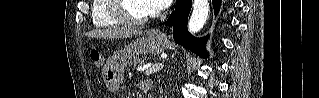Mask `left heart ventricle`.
Returning <instances> with one entry per match:
<instances>
[{"instance_id":"b2bd125f","label":"left heart ventricle","mask_w":319,"mask_h":98,"mask_svg":"<svg viewBox=\"0 0 319 98\" xmlns=\"http://www.w3.org/2000/svg\"><path fill=\"white\" fill-rule=\"evenodd\" d=\"M121 7L126 16L134 19H141L151 13L148 2L144 0H124Z\"/></svg>"}]
</instances>
